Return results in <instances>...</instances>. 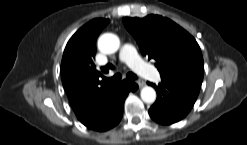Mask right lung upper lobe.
<instances>
[{"label": "right lung upper lobe", "instance_id": "obj_1", "mask_svg": "<svg viewBox=\"0 0 247 145\" xmlns=\"http://www.w3.org/2000/svg\"><path fill=\"white\" fill-rule=\"evenodd\" d=\"M109 19H94L81 27L68 41L61 62V78L78 119L101 104L117 85L100 78L111 65L96 69L93 62L96 39Z\"/></svg>", "mask_w": 247, "mask_h": 145}]
</instances>
